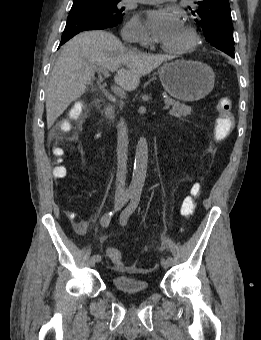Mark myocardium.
Returning a JSON list of instances; mask_svg holds the SVG:
<instances>
[{"mask_svg":"<svg viewBox=\"0 0 261 340\" xmlns=\"http://www.w3.org/2000/svg\"><path fill=\"white\" fill-rule=\"evenodd\" d=\"M183 28L186 34L188 35V42L185 45L180 46V47L163 46V49L165 51L173 53V54H183V53H188L197 47L200 41L197 30L189 24H185Z\"/></svg>","mask_w":261,"mask_h":340,"instance_id":"1","label":"myocardium"}]
</instances>
